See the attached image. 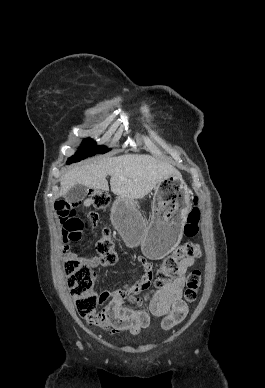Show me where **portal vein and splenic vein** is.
<instances>
[{"mask_svg": "<svg viewBox=\"0 0 265 388\" xmlns=\"http://www.w3.org/2000/svg\"><path fill=\"white\" fill-rule=\"evenodd\" d=\"M121 180H126V178H121Z\"/></svg>", "mask_w": 265, "mask_h": 388, "instance_id": "portal-vein-and-splenic-vein-1", "label": "portal vein and splenic vein"}]
</instances>
